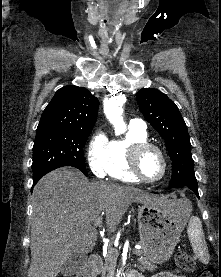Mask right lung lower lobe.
<instances>
[{
    "mask_svg": "<svg viewBox=\"0 0 221 277\" xmlns=\"http://www.w3.org/2000/svg\"><path fill=\"white\" fill-rule=\"evenodd\" d=\"M38 180H39V179H34V180H33V187H34V185L38 182Z\"/></svg>",
    "mask_w": 221,
    "mask_h": 277,
    "instance_id": "right-lung-lower-lobe-1",
    "label": "right lung lower lobe"
}]
</instances>
